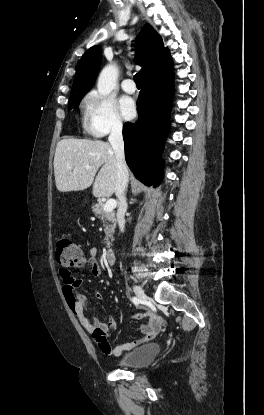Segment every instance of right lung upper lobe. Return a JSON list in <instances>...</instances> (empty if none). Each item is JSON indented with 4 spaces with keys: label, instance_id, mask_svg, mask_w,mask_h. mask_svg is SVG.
I'll list each match as a JSON object with an SVG mask.
<instances>
[{
    "label": "right lung upper lobe",
    "instance_id": "obj_1",
    "mask_svg": "<svg viewBox=\"0 0 264 415\" xmlns=\"http://www.w3.org/2000/svg\"><path fill=\"white\" fill-rule=\"evenodd\" d=\"M136 59L142 67V81L158 78L173 71L169 49L163 46L161 36L150 24H145L137 39ZM98 46L91 47L82 56L76 71L70 97L87 93L95 80L101 62Z\"/></svg>",
    "mask_w": 264,
    "mask_h": 415
}]
</instances>
